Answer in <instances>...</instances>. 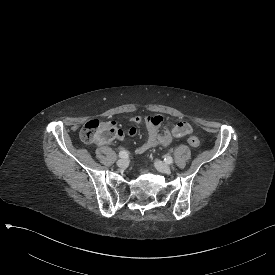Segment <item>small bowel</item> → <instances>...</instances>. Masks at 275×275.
<instances>
[{
	"mask_svg": "<svg viewBox=\"0 0 275 275\" xmlns=\"http://www.w3.org/2000/svg\"><path fill=\"white\" fill-rule=\"evenodd\" d=\"M160 114H153L152 117L143 118L141 115H135L131 117V122L133 124H141L145 122L147 125V138L146 140L135 149L136 154H143L148 150L158 147V146H168L173 139L182 138L189 134L192 130L191 125L186 121H181L170 128L165 126L160 130V125L162 123ZM118 138L123 140L125 135L122 130L118 131ZM137 134V129L132 127L128 130L129 136H135Z\"/></svg>",
	"mask_w": 275,
	"mask_h": 275,
	"instance_id": "obj_1",
	"label": "small bowel"
}]
</instances>
